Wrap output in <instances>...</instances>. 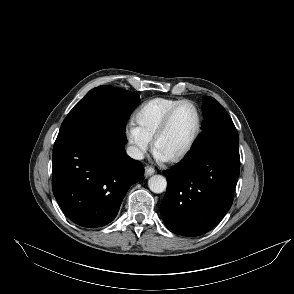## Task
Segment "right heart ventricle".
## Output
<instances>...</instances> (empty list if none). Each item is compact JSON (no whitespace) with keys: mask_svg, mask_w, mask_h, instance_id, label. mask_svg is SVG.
Wrapping results in <instances>:
<instances>
[{"mask_svg":"<svg viewBox=\"0 0 294 294\" xmlns=\"http://www.w3.org/2000/svg\"><path fill=\"white\" fill-rule=\"evenodd\" d=\"M181 100L157 97L146 101L135 114L136 125L152 140L167 112Z\"/></svg>","mask_w":294,"mask_h":294,"instance_id":"1","label":"right heart ventricle"}]
</instances>
